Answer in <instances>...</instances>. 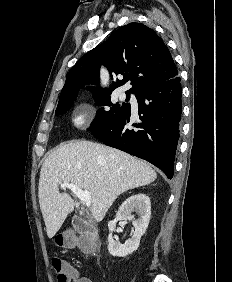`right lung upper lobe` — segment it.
<instances>
[{
	"mask_svg": "<svg viewBox=\"0 0 232 282\" xmlns=\"http://www.w3.org/2000/svg\"><path fill=\"white\" fill-rule=\"evenodd\" d=\"M124 76L113 83V90L131 81L128 93H137L147 84L167 81L178 70L163 40L140 23H129L112 32L103 44L85 54L67 74L59 100L77 94L84 84H99V67ZM93 93L105 92L87 87Z\"/></svg>",
	"mask_w": 232,
	"mask_h": 282,
	"instance_id": "obj_1",
	"label": "right lung upper lobe"
}]
</instances>
